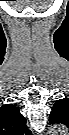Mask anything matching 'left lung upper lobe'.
I'll list each match as a JSON object with an SVG mask.
<instances>
[{
  "label": "left lung upper lobe",
  "instance_id": "1",
  "mask_svg": "<svg viewBox=\"0 0 69 135\" xmlns=\"http://www.w3.org/2000/svg\"><path fill=\"white\" fill-rule=\"evenodd\" d=\"M69 101L68 99L57 100L52 108V112L49 116L51 124L64 122V118L68 115Z\"/></svg>",
  "mask_w": 69,
  "mask_h": 135
}]
</instances>
